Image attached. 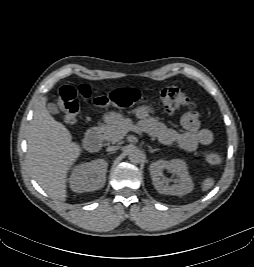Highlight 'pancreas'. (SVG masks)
Instances as JSON below:
<instances>
[{"mask_svg": "<svg viewBox=\"0 0 254 267\" xmlns=\"http://www.w3.org/2000/svg\"><path fill=\"white\" fill-rule=\"evenodd\" d=\"M132 125L131 119H120L111 122L102 128V139L115 143L125 136L123 132H126Z\"/></svg>", "mask_w": 254, "mask_h": 267, "instance_id": "pancreas-1", "label": "pancreas"}]
</instances>
